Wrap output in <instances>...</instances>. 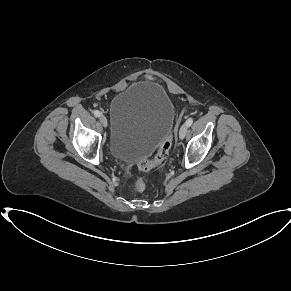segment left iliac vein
Wrapping results in <instances>:
<instances>
[{
  "label": "left iliac vein",
  "instance_id": "4c4485c4",
  "mask_svg": "<svg viewBox=\"0 0 291 291\" xmlns=\"http://www.w3.org/2000/svg\"><path fill=\"white\" fill-rule=\"evenodd\" d=\"M187 130H188V126L187 124H183L180 128V131H179V138L182 140L184 139L186 133H187Z\"/></svg>",
  "mask_w": 291,
  "mask_h": 291
}]
</instances>
